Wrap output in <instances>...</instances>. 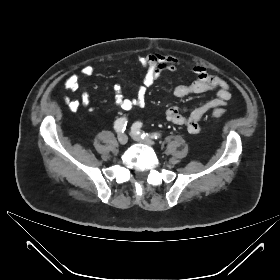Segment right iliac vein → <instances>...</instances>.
<instances>
[{
    "mask_svg": "<svg viewBox=\"0 0 280 280\" xmlns=\"http://www.w3.org/2000/svg\"><path fill=\"white\" fill-rule=\"evenodd\" d=\"M118 142L121 145H125L128 142V136L125 133L118 135Z\"/></svg>",
    "mask_w": 280,
    "mask_h": 280,
    "instance_id": "63e3f726",
    "label": "right iliac vein"
}]
</instances>
